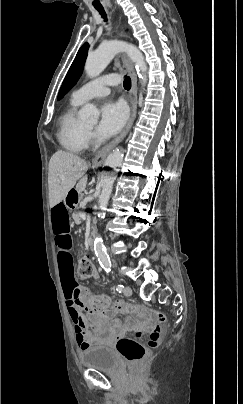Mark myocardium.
Listing matches in <instances>:
<instances>
[{
	"label": "myocardium",
	"mask_w": 243,
	"mask_h": 404,
	"mask_svg": "<svg viewBox=\"0 0 243 404\" xmlns=\"http://www.w3.org/2000/svg\"><path fill=\"white\" fill-rule=\"evenodd\" d=\"M97 34H98V35H100L101 33H97ZM84 129H85V131H86V132L91 131L90 129H88V128H87V127H85V126H84Z\"/></svg>",
	"instance_id": "f54148a6"
}]
</instances>
